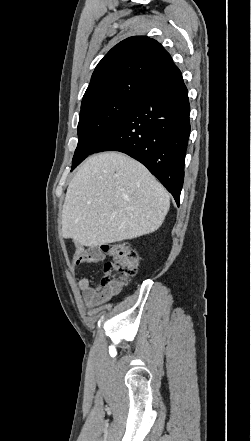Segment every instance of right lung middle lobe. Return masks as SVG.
<instances>
[{
	"label": "right lung middle lobe",
	"instance_id": "right-lung-middle-lobe-1",
	"mask_svg": "<svg viewBox=\"0 0 251 441\" xmlns=\"http://www.w3.org/2000/svg\"><path fill=\"white\" fill-rule=\"evenodd\" d=\"M142 96H120L102 99L81 108L78 123V145L71 171L126 116Z\"/></svg>",
	"mask_w": 251,
	"mask_h": 441
}]
</instances>
